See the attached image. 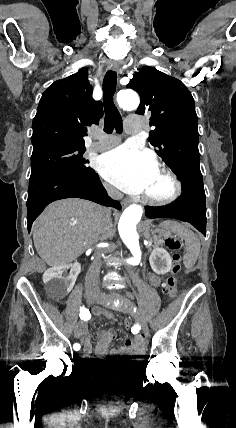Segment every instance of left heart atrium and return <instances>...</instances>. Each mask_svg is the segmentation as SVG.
Masks as SVG:
<instances>
[{
    "mask_svg": "<svg viewBox=\"0 0 236 428\" xmlns=\"http://www.w3.org/2000/svg\"><path fill=\"white\" fill-rule=\"evenodd\" d=\"M156 161L143 150L122 145L101 160L103 178L129 194H142L155 171Z\"/></svg>",
    "mask_w": 236,
    "mask_h": 428,
    "instance_id": "1",
    "label": "left heart atrium"
}]
</instances>
